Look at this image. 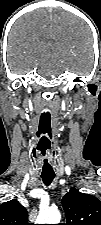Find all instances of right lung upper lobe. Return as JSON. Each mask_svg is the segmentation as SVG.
I'll use <instances>...</instances> for the list:
<instances>
[{"label": "right lung upper lobe", "mask_w": 101, "mask_h": 225, "mask_svg": "<svg viewBox=\"0 0 101 225\" xmlns=\"http://www.w3.org/2000/svg\"><path fill=\"white\" fill-rule=\"evenodd\" d=\"M28 212L15 199L0 205V225H30Z\"/></svg>", "instance_id": "obj_1"}]
</instances>
